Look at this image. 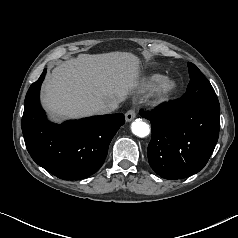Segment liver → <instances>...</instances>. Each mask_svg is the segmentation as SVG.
Here are the masks:
<instances>
[{
	"mask_svg": "<svg viewBox=\"0 0 238 238\" xmlns=\"http://www.w3.org/2000/svg\"><path fill=\"white\" fill-rule=\"evenodd\" d=\"M139 64L128 52L80 54L53 69L42 103L55 120L98 114L99 105L119 104L137 87Z\"/></svg>",
	"mask_w": 238,
	"mask_h": 238,
	"instance_id": "6515ba94",
	"label": "liver"
}]
</instances>
